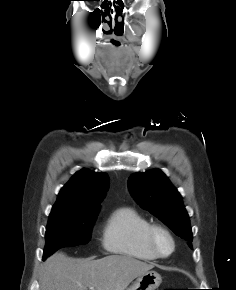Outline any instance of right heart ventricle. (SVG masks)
I'll return each mask as SVG.
<instances>
[{"mask_svg": "<svg viewBox=\"0 0 236 290\" xmlns=\"http://www.w3.org/2000/svg\"><path fill=\"white\" fill-rule=\"evenodd\" d=\"M150 221L132 207L115 209L108 217L102 232V245L110 253L141 261L158 257L147 244Z\"/></svg>", "mask_w": 236, "mask_h": 290, "instance_id": "1", "label": "right heart ventricle"}]
</instances>
